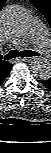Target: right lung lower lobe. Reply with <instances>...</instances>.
<instances>
[{
	"label": "right lung lower lobe",
	"mask_w": 51,
	"mask_h": 153,
	"mask_svg": "<svg viewBox=\"0 0 51 153\" xmlns=\"http://www.w3.org/2000/svg\"><path fill=\"white\" fill-rule=\"evenodd\" d=\"M11 69H12V64H10V67H9V69H8V72H7V75L3 78L2 83H3V81L5 80V78L9 75Z\"/></svg>",
	"instance_id": "obj_1"
}]
</instances>
